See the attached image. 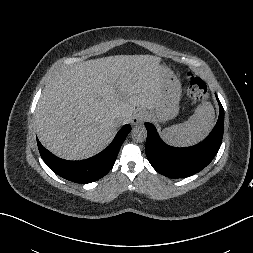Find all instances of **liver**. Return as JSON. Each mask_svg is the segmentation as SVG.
<instances>
[{
    "label": "liver",
    "instance_id": "6515ba94",
    "mask_svg": "<svg viewBox=\"0 0 253 253\" xmlns=\"http://www.w3.org/2000/svg\"><path fill=\"white\" fill-rule=\"evenodd\" d=\"M160 59L115 55L64 67L45 86L35 111L42 145L66 160L102 151L138 109L150 114L163 99Z\"/></svg>",
    "mask_w": 253,
    "mask_h": 253
}]
</instances>
